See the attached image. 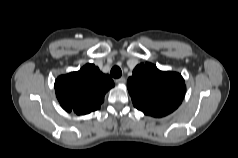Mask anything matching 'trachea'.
Returning <instances> with one entry per match:
<instances>
[{
  "instance_id": "trachea-1",
  "label": "trachea",
  "mask_w": 238,
  "mask_h": 158,
  "mask_svg": "<svg viewBox=\"0 0 238 158\" xmlns=\"http://www.w3.org/2000/svg\"><path fill=\"white\" fill-rule=\"evenodd\" d=\"M111 75L114 78H119L122 75V71H121V69L118 66H114L111 69Z\"/></svg>"
}]
</instances>
